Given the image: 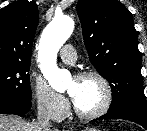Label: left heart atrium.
Instances as JSON below:
<instances>
[{"mask_svg": "<svg viewBox=\"0 0 147 131\" xmlns=\"http://www.w3.org/2000/svg\"><path fill=\"white\" fill-rule=\"evenodd\" d=\"M71 98H72V101L74 102V104L76 103L77 101V92H74L71 94Z\"/></svg>", "mask_w": 147, "mask_h": 131, "instance_id": "39dd6f15", "label": "left heart atrium"}]
</instances>
